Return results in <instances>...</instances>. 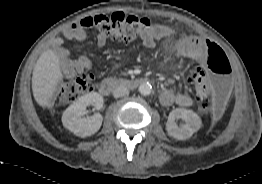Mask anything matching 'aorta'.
Masks as SVG:
<instances>
[{
  "label": "aorta",
  "instance_id": "aorta-1",
  "mask_svg": "<svg viewBox=\"0 0 262 184\" xmlns=\"http://www.w3.org/2000/svg\"><path fill=\"white\" fill-rule=\"evenodd\" d=\"M138 91L142 95H148L152 91V86L149 83H146V82L141 83L139 85Z\"/></svg>",
  "mask_w": 262,
  "mask_h": 184
}]
</instances>
